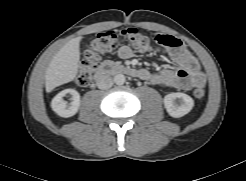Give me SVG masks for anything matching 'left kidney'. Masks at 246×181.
I'll return each mask as SVG.
<instances>
[{"instance_id":"obj_1","label":"left kidney","mask_w":246,"mask_h":181,"mask_svg":"<svg viewBox=\"0 0 246 181\" xmlns=\"http://www.w3.org/2000/svg\"><path fill=\"white\" fill-rule=\"evenodd\" d=\"M176 99H179V105L176 103ZM163 103L168 114L174 118H180L188 114L194 106V100L184 93L167 94L163 99Z\"/></svg>"}]
</instances>
